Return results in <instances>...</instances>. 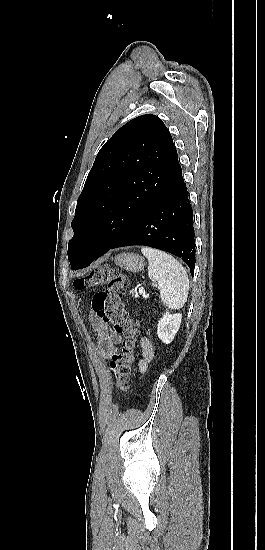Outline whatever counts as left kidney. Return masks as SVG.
I'll use <instances>...</instances> for the list:
<instances>
[{
    "label": "left kidney",
    "instance_id": "left-kidney-1",
    "mask_svg": "<svg viewBox=\"0 0 265 550\" xmlns=\"http://www.w3.org/2000/svg\"><path fill=\"white\" fill-rule=\"evenodd\" d=\"M181 320L182 315L180 313L170 314L166 312L163 314L157 327V335L163 343L170 344L173 341L179 330Z\"/></svg>",
    "mask_w": 265,
    "mask_h": 550
}]
</instances>
